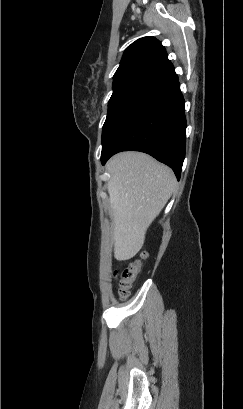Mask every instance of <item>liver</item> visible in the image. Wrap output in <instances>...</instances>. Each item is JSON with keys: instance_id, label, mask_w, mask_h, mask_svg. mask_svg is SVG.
<instances>
[{"instance_id": "obj_1", "label": "liver", "mask_w": 243, "mask_h": 409, "mask_svg": "<svg viewBox=\"0 0 243 409\" xmlns=\"http://www.w3.org/2000/svg\"><path fill=\"white\" fill-rule=\"evenodd\" d=\"M106 167L114 258L125 261L143 247L147 229L175 190L176 178L169 167L140 152L118 153Z\"/></svg>"}]
</instances>
